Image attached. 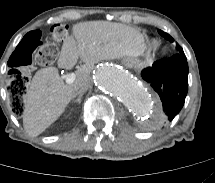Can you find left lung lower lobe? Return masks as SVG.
<instances>
[{
  "mask_svg": "<svg viewBox=\"0 0 215 183\" xmlns=\"http://www.w3.org/2000/svg\"><path fill=\"white\" fill-rule=\"evenodd\" d=\"M144 80L157 91L164 118L171 121L182 109L188 90V64L184 53L156 61L141 72Z\"/></svg>",
  "mask_w": 215,
  "mask_h": 183,
  "instance_id": "0a47b994",
  "label": "left lung lower lobe"
}]
</instances>
